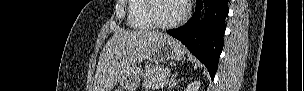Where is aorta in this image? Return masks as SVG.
Here are the masks:
<instances>
[{"instance_id":"1","label":"aorta","mask_w":304,"mask_h":91,"mask_svg":"<svg viewBox=\"0 0 304 91\" xmlns=\"http://www.w3.org/2000/svg\"><path fill=\"white\" fill-rule=\"evenodd\" d=\"M201 16L203 17L204 16V12H205V8H204V5H203V8H202V11H201Z\"/></svg>"}]
</instances>
